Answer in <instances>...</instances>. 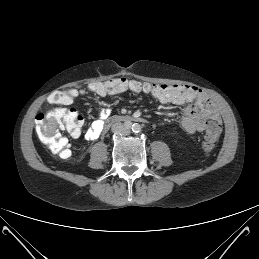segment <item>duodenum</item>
<instances>
[{"label":"duodenum","instance_id":"duodenum-1","mask_svg":"<svg viewBox=\"0 0 259 259\" xmlns=\"http://www.w3.org/2000/svg\"><path fill=\"white\" fill-rule=\"evenodd\" d=\"M147 120L144 117L130 116V115H115L107 118L104 121V130L109 129L112 125L117 123L131 124L133 122L145 123Z\"/></svg>","mask_w":259,"mask_h":259}]
</instances>
